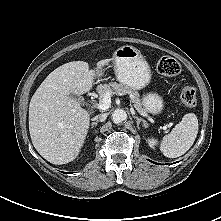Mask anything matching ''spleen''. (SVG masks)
Wrapping results in <instances>:
<instances>
[{"mask_svg": "<svg viewBox=\"0 0 221 221\" xmlns=\"http://www.w3.org/2000/svg\"><path fill=\"white\" fill-rule=\"evenodd\" d=\"M198 134V119L194 113L185 114L179 124L165 135L160 150L168 158L185 154L193 145Z\"/></svg>", "mask_w": 221, "mask_h": 221, "instance_id": "3e777b00", "label": "spleen"}]
</instances>
